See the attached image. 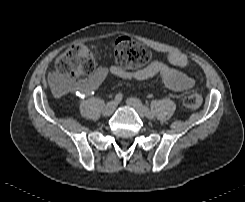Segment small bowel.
<instances>
[{
  "label": "small bowel",
  "mask_w": 245,
  "mask_h": 202,
  "mask_svg": "<svg viewBox=\"0 0 245 202\" xmlns=\"http://www.w3.org/2000/svg\"><path fill=\"white\" fill-rule=\"evenodd\" d=\"M186 65L185 57L178 51H171L167 61L155 59L147 66L135 70H125L117 64H112L108 68H97L85 81L75 82L76 89L71 92L75 96L77 92L88 95L98 90L109 74L121 79L132 81H144L152 78H159L163 85L174 92H184L192 88L194 79L189 75L179 71Z\"/></svg>",
  "instance_id": "small-bowel-1"
}]
</instances>
